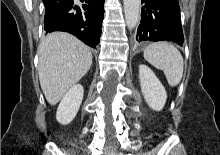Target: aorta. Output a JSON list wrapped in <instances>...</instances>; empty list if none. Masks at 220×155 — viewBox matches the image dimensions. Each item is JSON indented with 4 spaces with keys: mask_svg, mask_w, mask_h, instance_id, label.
<instances>
[{
    "mask_svg": "<svg viewBox=\"0 0 220 155\" xmlns=\"http://www.w3.org/2000/svg\"><path fill=\"white\" fill-rule=\"evenodd\" d=\"M123 5L126 25L129 29H133L139 21L141 1L123 0Z\"/></svg>",
    "mask_w": 220,
    "mask_h": 155,
    "instance_id": "1",
    "label": "aorta"
}]
</instances>
